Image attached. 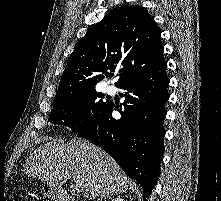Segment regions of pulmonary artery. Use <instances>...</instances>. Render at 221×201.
Here are the masks:
<instances>
[{"instance_id":"1","label":"pulmonary artery","mask_w":221,"mask_h":201,"mask_svg":"<svg viewBox=\"0 0 221 201\" xmlns=\"http://www.w3.org/2000/svg\"><path fill=\"white\" fill-rule=\"evenodd\" d=\"M106 91H107L108 93H114L115 88H114L113 86L109 85V86L106 87Z\"/></svg>"}]
</instances>
